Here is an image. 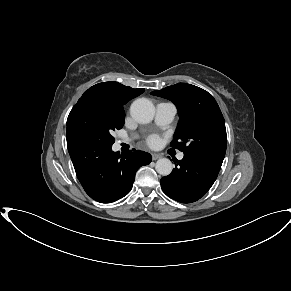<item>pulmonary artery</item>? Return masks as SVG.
I'll return each mask as SVG.
<instances>
[{
	"mask_svg": "<svg viewBox=\"0 0 291 291\" xmlns=\"http://www.w3.org/2000/svg\"><path fill=\"white\" fill-rule=\"evenodd\" d=\"M176 107L171 102H161L156 106L155 122L159 126H166L170 124L176 115ZM184 154L180 153L178 159H183Z\"/></svg>",
	"mask_w": 291,
	"mask_h": 291,
	"instance_id": "1",
	"label": "pulmonary artery"
}]
</instances>
